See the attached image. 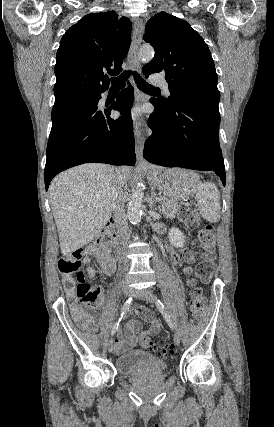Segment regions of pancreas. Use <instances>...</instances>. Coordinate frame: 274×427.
Returning <instances> with one entry per match:
<instances>
[{"label": "pancreas", "mask_w": 274, "mask_h": 427, "mask_svg": "<svg viewBox=\"0 0 274 427\" xmlns=\"http://www.w3.org/2000/svg\"><path fill=\"white\" fill-rule=\"evenodd\" d=\"M160 204L159 210L161 214L166 215V217H171V219L181 210V206H179L176 200H167V198H164L163 202H160Z\"/></svg>", "instance_id": "cf45deb5"}]
</instances>
